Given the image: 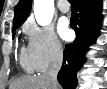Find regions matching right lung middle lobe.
<instances>
[{
  "label": "right lung middle lobe",
  "mask_w": 107,
  "mask_h": 89,
  "mask_svg": "<svg viewBox=\"0 0 107 89\" xmlns=\"http://www.w3.org/2000/svg\"><path fill=\"white\" fill-rule=\"evenodd\" d=\"M16 28H18V27H14V28H13V31H15ZM13 37H14V34H13Z\"/></svg>",
  "instance_id": "right-lung-middle-lobe-1"
}]
</instances>
